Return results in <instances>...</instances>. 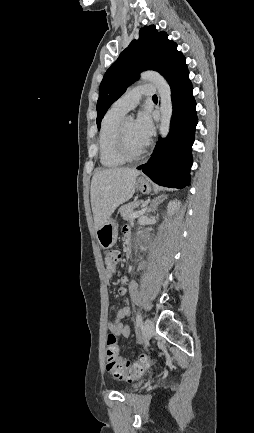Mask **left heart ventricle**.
Segmentation results:
<instances>
[{"label": "left heart ventricle", "instance_id": "b2bd125f", "mask_svg": "<svg viewBox=\"0 0 254 433\" xmlns=\"http://www.w3.org/2000/svg\"><path fill=\"white\" fill-rule=\"evenodd\" d=\"M124 131L127 146L132 152L140 151L147 144L137 135L135 131V122L132 119L125 120Z\"/></svg>", "mask_w": 254, "mask_h": 433}]
</instances>
